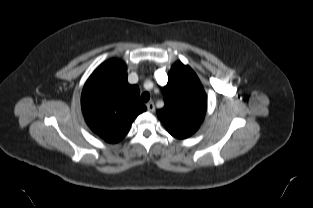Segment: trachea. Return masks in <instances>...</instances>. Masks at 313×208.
I'll return each mask as SVG.
<instances>
[{
  "instance_id": "obj_1",
  "label": "trachea",
  "mask_w": 313,
  "mask_h": 208,
  "mask_svg": "<svg viewBox=\"0 0 313 208\" xmlns=\"http://www.w3.org/2000/svg\"><path fill=\"white\" fill-rule=\"evenodd\" d=\"M150 99V94L148 92H144L142 95H141V101L142 102H148Z\"/></svg>"
}]
</instances>
